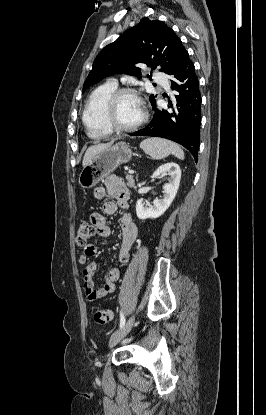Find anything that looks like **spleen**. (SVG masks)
<instances>
[{
	"label": "spleen",
	"mask_w": 266,
	"mask_h": 415,
	"mask_svg": "<svg viewBox=\"0 0 266 415\" xmlns=\"http://www.w3.org/2000/svg\"><path fill=\"white\" fill-rule=\"evenodd\" d=\"M140 147L154 160L164 159L171 154L178 159H184L183 150L177 144L166 139L148 138L140 143Z\"/></svg>",
	"instance_id": "obj_1"
}]
</instances>
